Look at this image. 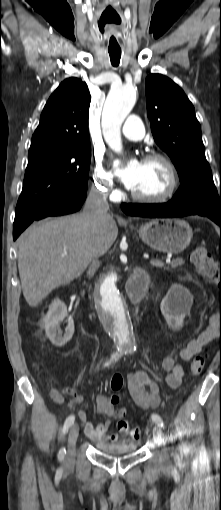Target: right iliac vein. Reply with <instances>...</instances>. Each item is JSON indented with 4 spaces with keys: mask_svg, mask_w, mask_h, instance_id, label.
Returning a JSON list of instances; mask_svg holds the SVG:
<instances>
[{
    "mask_svg": "<svg viewBox=\"0 0 221 510\" xmlns=\"http://www.w3.org/2000/svg\"><path fill=\"white\" fill-rule=\"evenodd\" d=\"M79 435V427L77 424H74L70 430L68 435V445H69V454L67 458V465H71L75 456V446Z\"/></svg>",
    "mask_w": 221,
    "mask_h": 510,
    "instance_id": "right-iliac-vein-1",
    "label": "right iliac vein"
}]
</instances>
